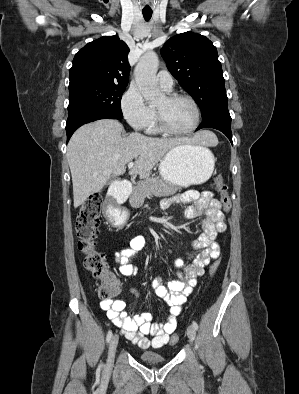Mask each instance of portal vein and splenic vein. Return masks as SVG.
I'll return each instance as SVG.
<instances>
[{
  "instance_id": "1",
  "label": "portal vein and splenic vein",
  "mask_w": 299,
  "mask_h": 394,
  "mask_svg": "<svg viewBox=\"0 0 299 394\" xmlns=\"http://www.w3.org/2000/svg\"><path fill=\"white\" fill-rule=\"evenodd\" d=\"M133 166H134V163H133V162H129V163H128V168H129V169L133 168Z\"/></svg>"
}]
</instances>
